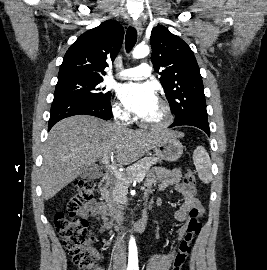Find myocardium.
I'll use <instances>...</instances> for the list:
<instances>
[{
    "label": "myocardium",
    "instance_id": "1",
    "mask_svg": "<svg viewBox=\"0 0 267 270\" xmlns=\"http://www.w3.org/2000/svg\"><path fill=\"white\" fill-rule=\"evenodd\" d=\"M158 103L162 109L163 112V118L159 122H148L144 119H140L139 123L142 127L151 129V130H163L169 127L174 119L172 109L167 101L163 99H159Z\"/></svg>",
    "mask_w": 267,
    "mask_h": 270
}]
</instances>
